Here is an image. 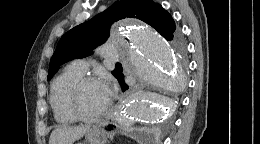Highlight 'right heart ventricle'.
I'll return each instance as SVG.
<instances>
[{
    "label": "right heart ventricle",
    "mask_w": 260,
    "mask_h": 144,
    "mask_svg": "<svg viewBox=\"0 0 260 144\" xmlns=\"http://www.w3.org/2000/svg\"><path fill=\"white\" fill-rule=\"evenodd\" d=\"M82 76V72L69 65L52 82L50 104L56 122L61 125L76 121L67 108V99L71 88Z\"/></svg>",
    "instance_id": "obj_1"
}]
</instances>
